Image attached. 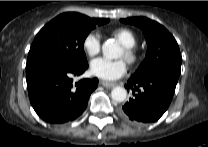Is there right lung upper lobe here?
<instances>
[{
	"label": "right lung upper lobe",
	"mask_w": 208,
	"mask_h": 147,
	"mask_svg": "<svg viewBox=\"0 0 208 147\" xmlns=\"http://www.w3.org/2000/svg\"><path fill=\"white\" fill-rule=\"evenodd\" d=\"M63 14H71V15H75V16H78L80 18H83L85 20H88V21H94V22H99L101 21L103 18H89L85 15H82V14H79V13H74V12H68V13H63Z\"/></svg>",
	"instance_id": "obj_1"
}]
</instances>
